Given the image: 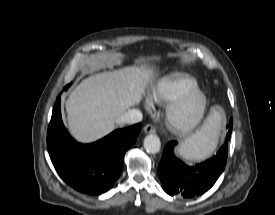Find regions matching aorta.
<instances>
[{"label": "aorta", "mask_w": 275, "mask_h": 215, "mask_svg": "<svg viewBox=\"0 0 275 215\" xmlns=\"http://www.w3.org/2000/svg\"><path fill=\"white\" fill-rule=\"evenodd\" d=\"M144 148L149 153H158L161 149V142L159 137L155 134H150L146 136L144 139Z\"/></svg>", "instance_id": "aorta-1"}]
</instances>
